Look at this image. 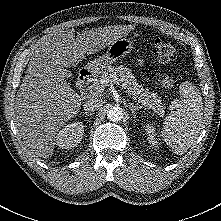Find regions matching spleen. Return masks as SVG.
<instances>
[{"label": "spleen", "instance_id": "1", "mask_svg": "<svg viewBox=\"0 0 221 221\" xmlns=\"http://www.w3.org/2000/svg\"><path fill=\"white\" fill-rule=\"evenodd\" d=\"M180 103L165 118L163 140L178 154H184L195 141L202 124L203 102L198 88L189 82L179 86Z\"/></svg>", "mask_w": 221, "mask_h": 221}]
</instances>
